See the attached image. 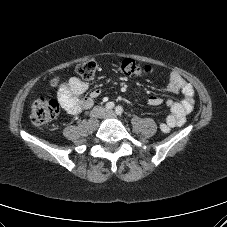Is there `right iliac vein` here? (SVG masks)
Here are the masks:
<instances>
[{"instance_id": "obj_1", "label": "right iliac vein", "mask_w": 227, "mask_h": 227, "mask_svg": "<svg viewBox=\"0 0 227 227\" xmlns=\"http://www.w3.org/2000/svg\"><path fill=\"white\" fill-rule=\"evenodd\" d=\"M103 113L104 111L101 108H98L91 113V119L89 121L91 127H95L97 125V119L102 117Z\"/></svg>"}]
</instances>
